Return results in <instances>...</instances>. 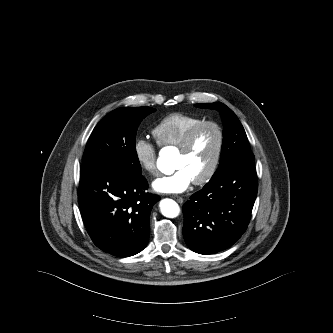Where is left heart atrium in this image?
Here are the masks:
<instances>
[{
    "mask_svg": "<svg viewBox=\"0 0 333 333\" xmlns=\"http://www.w3.org/2000/svg\"><path fill=\"white\" fill-rule=\"evenodd\" d=\"M193 179L183 168L176 169L172 174L157 178L152 186L158 193L178 194L189 188Z\"/></svg>",
    "mask_w": 333,
    "mask_h": 333,
    "instance_id": "39dd6f15",
    "label": "left heart atrium"
}]
</instances>
